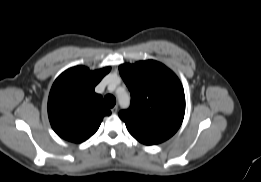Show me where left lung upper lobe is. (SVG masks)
Masks as SVG:
<instances>
[{
  "mask_svg": "<svg viewBox=\"0 0 261 182\" xmlns=\"http://www.w3.org/2000/svg\"><path fill=\"white\" fill-rule=\"evenodd\" d=\"M131 93V106L119 117L129 133L145 145L169 139L182 124L185 95L177 76L155 60L119 66Z\"/></svg>",
  "mask_w": 261,
  "mask_h": 182,
  "instance_id": "1",
  "label": "left lung upper lobe"
}]
</instances>
